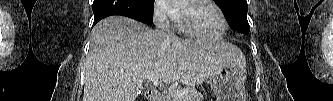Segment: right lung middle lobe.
Instances as JSON below:
<instances>
[{
    "instance_id": "1",
    "label": "right lung middle lobe",
    "mask_w": 333,
    "mask_h": 101,
    "mask_svg": "<svg viewBox=\"0 0 333 101\" xmlns=\"http://www.w3.org/2000/svg\"><path fill=\"white\" fill-rule=\"evenodd\" d=\"M142 10L149 23L153 22V6L155 0H133Z\"/></svg>"
}]
</instances>
